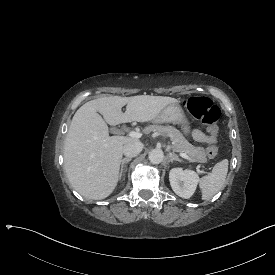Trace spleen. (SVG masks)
<instances>
[{"label":"spleen","mask_w":275,"mask_h":275,"mask_svg":"<svg viewBox=\"0 0 275 275\" xmlns=\"http://www.w3.org/2000/svg\"><path fill=\"white\" fill-rule=\"evenodd\" d=\"M228 165L229 161L224 159L213 167L210 175L201 178L202 199L212 198L221 189L227 176Z\"/></svg>","instance_id":"obj_1"}]
</instances>
